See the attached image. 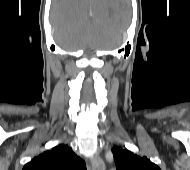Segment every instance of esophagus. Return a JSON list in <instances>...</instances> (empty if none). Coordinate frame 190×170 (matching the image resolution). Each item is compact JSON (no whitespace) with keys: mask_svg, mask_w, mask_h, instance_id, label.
Returning <instances> with one entry per match:
<instances>
[{"mask_svg":"<svg viewBox=\"0 0 190 170\" xmlns=\"http://www.w3.org/2000/svg\"><path fill=\"white\" fill-rule=\"evenodd\" d=\"M91 164L93 166L92 170H106L103 159L97 154L91 157Z\"/></svg>","mask_w":190,"mask_h":170,"instance_id":"esophagus-1","label":"esophagus"}]
</instances>
